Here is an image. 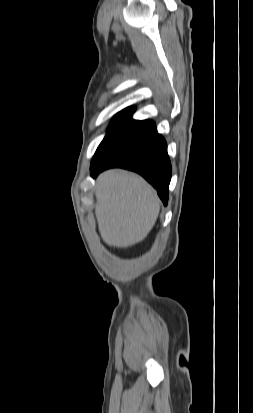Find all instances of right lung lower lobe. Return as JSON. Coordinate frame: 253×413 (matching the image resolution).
<instances>
[{
	"instance_id": "obj_1",
	"label": "right lung lower lobe",
	"mask_w": 253,
	"mask_h": 413,
	"mask_svg": "<svg viewBox=\"0 0 253 413\" xmlns=\"http://www.w3.org/2000/svg\"><path fill=\"white\" fill-rule=\"evenodd\" d=\"M112 167L129 169L142 175L157 189L159 197L167 205L171 164L166 141L156 129L90 167L91 176L96 177L101 171Z\"/></svg>"
}]
</instances>
